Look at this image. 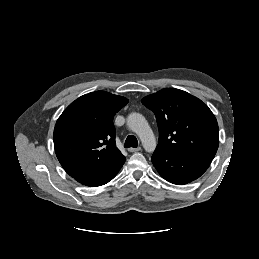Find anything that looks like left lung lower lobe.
Wrapping results in <instances>:
<instances>
[{"label":"left lung lower lobe","mask_w":259,"mask_h":259,"mask_svg":"<svg viewBox=\"0 0 259 259\" xmlns=\"http://www.w3.org/2000/svg\"><path fill=\"white\" fill-rule=\"evenodd\" d=\"M211 159L180 157L158 149L152 155V163L168 182L182 185L200 177L209 167Z\"/></svg>","instance_id":"0a47b994"}]
</instances>
